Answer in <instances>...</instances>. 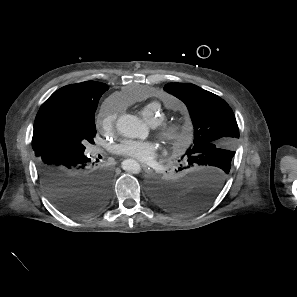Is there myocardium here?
<instances>
[{
    "label": "myocardium",
    "instance_id": "1",
    "mask_svg": "<svg viewBox=\"0 0 297 297\" xmlns=\"http://www.w3.org/2000/svg\"><path fill=\"white\" fill-rule=\"evenodd\" d=\"M153 127L157 136L167 145L176 150H181L186 146L189 135L181 122L160 120Z\"/></svg>",
    "mask_w": 297,
    "mask_h": 297
}]
</instances>
